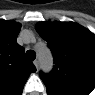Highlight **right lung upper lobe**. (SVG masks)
Instances as JSON below:
<instances>
[{"label":"right lung upper lobe","mask_w":95,"mask_h":95,"mask_svg":"<svg viewBox=\"0 0 95 95\" xmlns=\"http://www.w3.org/2000/svg\"><path fill=\"white\" fill-rule=\"evenodd\" d=\"M20 24L0 20V95H20L29 75L36 71L16 39Z\"/></svg>","instance_id":"cb5924a9"}]
</instances>
